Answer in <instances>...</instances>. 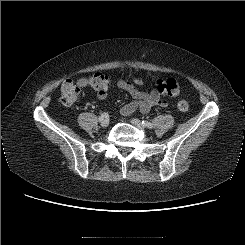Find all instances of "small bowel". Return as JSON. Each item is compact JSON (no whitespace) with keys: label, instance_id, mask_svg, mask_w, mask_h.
Listing matches in <instances>:
<instances>
[{"label":"small bowel","instance_id":"obj_1","mask_svg":"<svg viewBox=\"0 0 245 245\" xmlns=\"http://www.w3.org/2000/svg\"><path fill=\"white\" fill-rule=\"evenodd\" d=\"M145 84V80L135 75L132 77V81H126L123 79H119L117 81V85L119 88L125 90L131 96L132 100L125 104L121 108V114L123 116H129L135 111H140L143 114L148 113L152 107L158 106L165 108L167 107V102L161 98L160 93L157 90H152L150 92L140 91L136 85ZM97 97L100 100H104L107 98V92L98 91Z\"/></svg>","mask_w":245,"mask_h":245}]
</instances>
